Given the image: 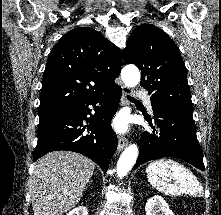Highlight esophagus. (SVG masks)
Masks as SVG:
<instances>
[{
    "mask_svg": "<svg viewBox=\"0 0 221 215\" xmlns=\"http://www.w3.org/2000/svg\"><path fill=\"white\" fill-rule=\"evenodd\" d=\"M131 93L130 89L126 86H122V98H121V103L126 104L127 102V96ZM128 144L127 138L124 136H119L118 137V150L121 151L123 150Z\"/></svg>",
    "mask_w": 221,
    "mask_h": 215,
    "instance_id": "1",
    "label": "esophagus"
}]
</instances>
